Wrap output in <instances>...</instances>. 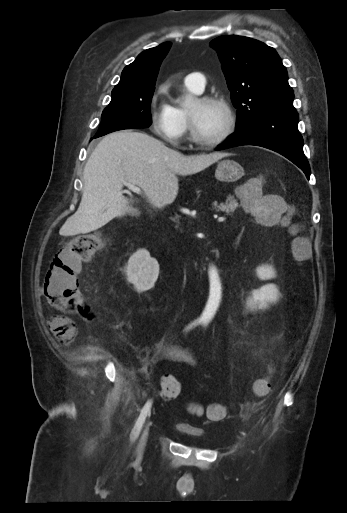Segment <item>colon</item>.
I'll use <instances>...</instances> for the list:
<instances>
[{
    "label": "colon",
    "mask_w": 347,
    "mask_h": 513,
    "mask_svg": "<svg viewBox=\"0 0 347 513\" xmlns=\"http://www.w3.org/2000/svg\"><path fill=\"white\" fill-rule=\"evenodd\" d=\"M238 191L242 206L256 214V221L259 224L264 226L280 224L288 226L293 231L295 234L293 253L296 260L305 261L310 257V248L301 233V227L292 223L294 212L289 205L283 203L279 196H263L257 182L243 183ZM102 245V239L94 233L76 237L55 253L44 279V293L50 304L62 312L77 311L87 326L94 325L97 317L93 313V303L84 300L78 288V274L83 263L88 261ZM253 389L257 396H265L270 390L269 378L258 379ZM181 391V383L174 376L165 375L162 378L161 392L165 400H176ZM189 411L196 416L205 412L209 420L220 421L225 418L227 408L220 403L210 404L205 409L192 404L189 406Z\"/></svg>",
    "instance_id": "colon-1"
}]
</instances>
